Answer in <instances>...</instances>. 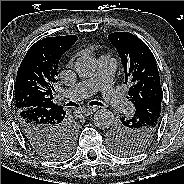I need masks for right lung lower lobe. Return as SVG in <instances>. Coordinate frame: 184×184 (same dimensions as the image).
Masks as SVG:
<instances>
[{"mask_svg":"<svg viewBox=\"0 0 184 184\" xmlns=\"http://www.w3.org/2000/svg\"><path fill=\"white\" fill-rule=\"evenodd\" d=\"M66 112L61 106L54 108L31 107L17 111L23 136L39 152L59 146L67 130Z\"/></svg>","mask_w":184,"mask_h":184,"instance_id":"right-lung-lower-lobe-1","label":"right lung lower lobe"}]
</instances>
